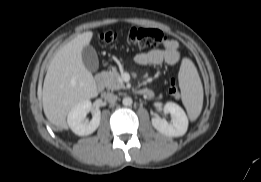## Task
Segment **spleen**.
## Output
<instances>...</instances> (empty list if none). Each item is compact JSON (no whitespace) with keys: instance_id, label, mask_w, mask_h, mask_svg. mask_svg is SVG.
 <instances>
[{"instance_id":"3e777b00","label":"spleen","mask_w":261,"mask_h":182,"mask_svg":"<svg viewBox=\"0 0 261 182\" xmlns=\"http://www.w3.org/2000/svg\"><path fill=\"white\" fill-rule=\"evenodd\" d=\"M182 102L191 121L198 118L203 106V87L193 62L184 58L178 74Z\"/></svg>"}]
</instances>
